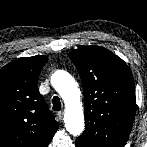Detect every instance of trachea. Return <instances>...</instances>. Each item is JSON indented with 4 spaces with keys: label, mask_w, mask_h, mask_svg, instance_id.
<instances>
[{
    "label": "trachea",
    "mask_w": 147,
    "mask_h": 147,
    "mask_svg": "<svg viewBox=\"0 0 147 147\" xmlns=\"http://www.w3.org/2000/svg\"><path fill=\"white\" fill-rule=\"evenodd\" d=\"M52 102H53L52 109L54 111H60L61 110V103H60L59 97L58 96H54Z\"/></svg>",
    "instance_id": "1"
}]
</instances>
